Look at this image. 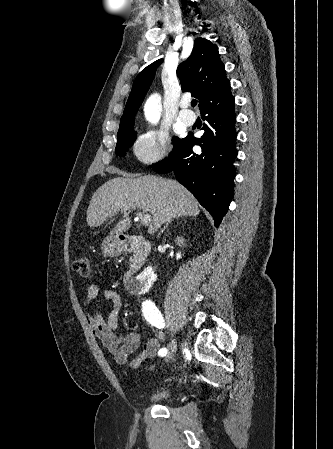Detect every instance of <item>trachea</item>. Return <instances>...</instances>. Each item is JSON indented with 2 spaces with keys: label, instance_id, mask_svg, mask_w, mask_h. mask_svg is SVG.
Wrapping results in <instances>:
<instances>
[{
  "label": "trachea",
  "instance_id": "1",
  "mask_svg": "<svg viewBox=\"0 0 333 449\" xmlns=\"http://www.w3.org/2000/svg\"><path fill=\"white\" fill-rule=\"evenodd\" d=\"M197 105V101L194 99V100H192V102H191V106L192 107H195Z\"/></svg>",
  "mask_w": 333,
  "mask_h": 449
}]
</instances>
